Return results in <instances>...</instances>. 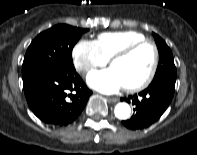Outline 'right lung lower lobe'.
Returning <instances> with one entry per match:
<instances>
[{"label": "right lung lower lobe", "mask_w": 197, "mask_h": 155, "mask_svg": "<svg viewBox=\"0 0 197 155\" xmlns=\"http://www.w3.org/2000/svg\"><path fill=\"white\" fill-rule=\"evenodd\" d=\"M24 93L32 112L54 126L72 123L84 109L92 91L75 69L47 73L27 86Z\"/></svg>", "instance_id": "right-lung-lower-lobe-1"}]
</instances>
